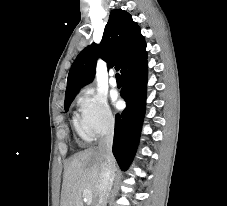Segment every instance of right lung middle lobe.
Listing matches in <instances>:
<instances>
[{"mask_svg": "<svg viewBox=\"0 0 227 206\" xmlns=\"http://www.w3.org/2000/svg\"><path fill=\"white\" fill-rule=\"evenodd\" d=\"M74 98H75V96L65 98V102H64L65 111L68 110V107H69L70 103L74 100Z\"/></svg>", "mask_w": 227, "mask_h": 206, "instance_id": "obj_1", "label": "right lung middle lobe"}]
</instances>
